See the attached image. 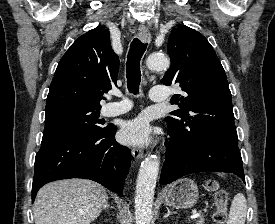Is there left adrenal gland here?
<instances>
[{
  "mask_svg": "<svg viewBox=\"0 0 275 224\" xmlns=\"http://www.w3.org/2000/svg\"><path fill=\"white\" fill-rule=\"evenodd\" d=\"M171 214H173V212H171L169 210V208H167V213L164 215V219H166L167 217H169Z\"/></svg>",
  "mask_w": 275,
  "mask_h": 224,
  "instance_id": "1",
  "label": "left adrenal gland"
}]
</instances>
